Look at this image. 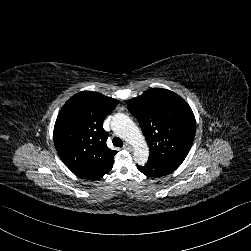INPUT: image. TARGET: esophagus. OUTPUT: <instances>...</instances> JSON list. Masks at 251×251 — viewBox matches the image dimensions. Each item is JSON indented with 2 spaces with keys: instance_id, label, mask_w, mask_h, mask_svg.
<instances>
[{
  "instance_id": "34e87169",
  "label": "esophagus",
  "mask_w": 251,
  "mask_h": 251,
  "mask_svg": "<svg viewBox=\"0 0 251 251\" xmlns=\"http://www.w3.org/2000/svg\"><path fill=\"white\" fill-rule=\"evenodd\" d=\"M124 149H126V150H133V147H132V145L130 143L126 142L124 144Z\"/></svg>"
}]
</instances>
